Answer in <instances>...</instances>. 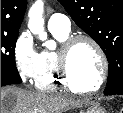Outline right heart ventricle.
I'll return each mask as SVG.
<instances>
[{"instance_id": "obj_1", "label": "right heart ventricle", "mask_w": 123, "mask_h": 113, "mask_svg": "<svg viewBox=\"0 0 123 113\" xmlns=\"http://www.w3.org/2000/svg\"><path fill=\"white\" fill-rule=\"evenodd\" d=\"M51 32L59 42H63L69 37V32ZM34 85L38 90L45 92H51L60 87L73 91L66 86L59 74L58 50H43L39 53L38 72Z\"/></svg>"}]
</instances>
